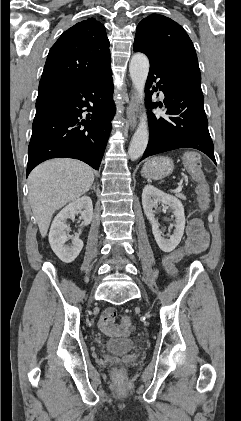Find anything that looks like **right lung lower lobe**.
<instances>
[{
  "mask_svg": "<svg viewBox=\"0 0 241 421\" xmlns=\"http://www.w3.org/2000/svg\"><path fill=\"white\" fill-rule=\"evenodd\" d=\"M111 67L94 78L40 92L28 147L27 175L52 158H74L98 170L115 114ZM89 112L82 119L83 112Z\"/></svg>",
  "mask_w": 241,
  "mask_h": 421,
  "instance_id": "obj_1",
  "label": "right lung lower lobe"
}]
</instances>
